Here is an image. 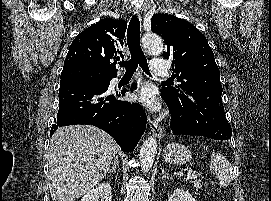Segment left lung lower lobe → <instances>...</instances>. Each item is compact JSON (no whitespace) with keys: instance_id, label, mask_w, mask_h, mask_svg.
<instances>
[{"instance_id":"obj_1","label":"left lung lower lobe","mask_w":271,"mask_h":201,"mask_svg":"<svg viewBox=\"0 0 271 201\" xmlns=\"http://www.w3.org/2000/svg\"><path fill=\"white\" fill-rule=\"evenodd\" d=\"M162 98L167 103L170 112H171V129L172 132L176 135H198V136H204V134L192 126L184 124L179 118L177 117L174 108L172 106V103L170 99L163 93H161Z\"/></svg>"}]
</instances>
